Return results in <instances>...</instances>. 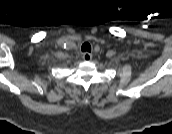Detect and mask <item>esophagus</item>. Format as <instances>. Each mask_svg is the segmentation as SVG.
<instances>
[{"instance_id":"1","label":"esophagus","mask_w":172,"mask_h":134,"mask_svg":"<svg viewBox=\"0 0 172 134\" xmlns=\"http://www.w3.org/2000/svg\"><path fill=\"white\" fill-rule=\"evenodd\" d=\"M82 58L84 61H90L92 59V54L89 52H84Z\"/></svg>"}]
</instances>
